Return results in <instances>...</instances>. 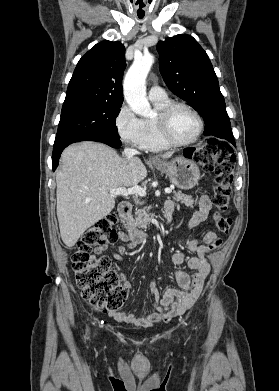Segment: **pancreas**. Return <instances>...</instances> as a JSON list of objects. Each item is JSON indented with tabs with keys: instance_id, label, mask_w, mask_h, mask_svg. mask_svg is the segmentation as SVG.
<instances>
[{
	"instance_id": "1",
	"label": "pancreas",
	"mask_w": 279,
	"mask_h": 391,
	"mask_svg": "<svg viewBox=\"0 0 279 391\" xmlns=\"http://www.w3.org/2000/svg\"><path fill=\"white\" fill-rule=\"evenodd\" d=\"M173 199L176 201H181L187 206H193L194 200L191 196L183 194L181 191L174 192ZM150 207H145L143 209H138L135 211V218L129 220V224L134 227H140L146 229L150 222L154 220V214L149 212Z\"/></svg>"
}]
</instances>
